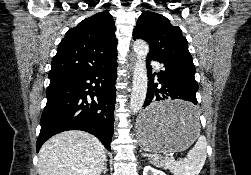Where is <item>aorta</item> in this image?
Returning a JSON list of instances; mask_svg holds the SVG:
<instances>
[{
    "instance_id": "obj_1",
    "label": "aorta",
    "mask_w": 251,
    "mask_h": 175,
    "mask_svg": "<svg viewBox=\"0 0 251 175\" xmlns=\"http://www.w3.org/2000/svg\"><path fill=\"white\" fill-rule=\"evenodd\" d=\"M135 64L133 68L132 91L130 97V111L136 113L141 109L147 93V70L146 56H148L149 46L143 40L134 42Z\"/></svg>"
}]
</instances>
